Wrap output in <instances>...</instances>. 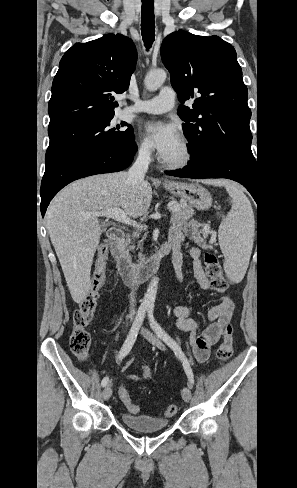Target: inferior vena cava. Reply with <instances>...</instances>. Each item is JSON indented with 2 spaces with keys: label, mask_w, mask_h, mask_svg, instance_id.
Returning <instances> with one entry per match:
<instances>
[{
  "label": "inferior vena cava",
  "mask_w": 297,
  "mask_h": 488,
  "mask_svg": "<svg viewBox=\"0 0 297 488\" xmlns=\"http://www.w3.org/2000/svg\"><path fill=\"white\" fill-rule=\"evenodd\" d=\"M150 155L151 149L149 146L142 145L138 150V156L136 158L135 163L128 171V180L132 184H139L144 180L145 173L148 170L150 164ZM133 287L131 288L130 293V316H134L136 313L135 305H136V290L135 284L137 282V273H133Z\"/></svg>",
  "instance_id": "obj_1"
}]
</instances>
